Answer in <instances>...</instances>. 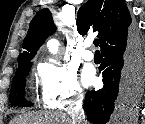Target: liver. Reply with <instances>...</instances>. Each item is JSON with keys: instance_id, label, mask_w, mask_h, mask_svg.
I'll return each instance as SVG.
<instances>
[{"instance_id": "liver-1", "label": "liver", "mask_w": 145, "mask_h": 124, "mask_svg": "<svg viewBox=\"0 0 145 124\" xmlns=\"http://www.w3.org/2000/svg\"><path fill=\"white\" fill-rule=\"evenodd\" d=\"M10 124H72V120L63 113L33 112L15 118Z\"/></svg>"}]
</instances>
